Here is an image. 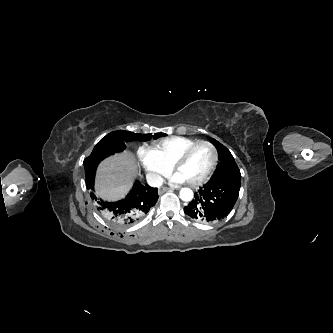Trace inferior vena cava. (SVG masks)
Segmentation results:
<instances>
[{
    "label": "inferior vena cava",
    "instance_id": "inferior-vena-cava-1",
    "mask_svg": "<svg viewBox=\"0 0 333 333\" xmlns=\"http://www.w3.org/2000/svg\"><path fill=\"white\" fill-rule=\"evenodd\" d=\"M147 179V183L151 186V187H160L163 184V178L158 175V174H154V173H149L146 176Z\"/></svg>",
    "mask_w": 333,
    "mask_h": 333
}]
</instances>
